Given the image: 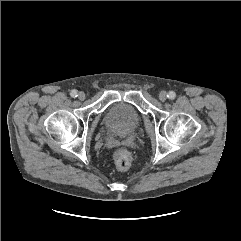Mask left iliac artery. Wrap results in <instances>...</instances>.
<instances>
[{"instance_id":"1","label":"left iliac artery","mask_w":241,"mask_h":241,"mask_svg":"<svg viewBox=\"0 0 241 241\" xmlns=\"http://www.w3.org/2000/svg\"><path fill=\"white\" fill-rule=\"evenodd\" d=\"M167 97L173 100L176 97V93L174 91H169V93L167 94Z\"/></svg>"}]
</instances>
